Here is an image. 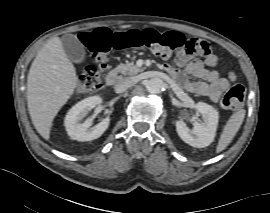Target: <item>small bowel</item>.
<instances>
[{
	"mask_svg": "<svg viewBox=\"0 0 270 213\" xmlns=\"http://www.w3.org/2000/svg\"><path fill=\"white\" fill-rule=\"evenodd\" d=\"M203 59H193L190 55L178 54L173 65H163L176 80L183 81L186 89L207 96L212 102H217L220 96L229 88L230 83L215 70L217 57L209 52L208 45ZM191 76L200 81L190 82L185 76Z\"/></svg>",
	"mask_w": 270,
	"mask_h": 213,
	"instance_id": "1",
	"label": "small bowel"
}]
</instances>
